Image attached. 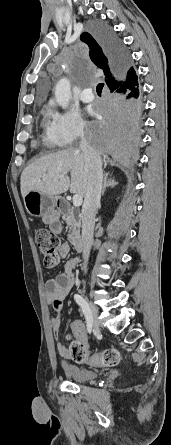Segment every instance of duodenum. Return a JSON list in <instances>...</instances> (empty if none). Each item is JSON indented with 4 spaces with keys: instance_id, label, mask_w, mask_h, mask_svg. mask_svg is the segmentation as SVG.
<instances>
[{
    "instance_id": "1",
    "label": "duodenum",
    "mask_w": 171,
    "mask_h": 445,
    "mask_svg": "<svg viewBox=\"0 0 171 445\" xmlns=\"http://www.w3.org/2000/svg\"><path fill=\"white\" fill-rule=\"evenodd\" d=\"M58 206H59V209L61 210V212H65L68 207V205L65 201H60ZM73 245L77 251L81 252L84 249L83 238L80 235H76L73 238Z\"/></svg>"
}]
</instances>
